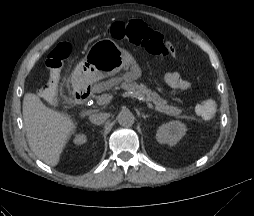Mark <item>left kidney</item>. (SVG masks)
<instances>
[{"label": "left kidney", "instance_id": "left-kidney-1", "mask_svg": "<svg viewBox=\"0 0 254 216\" xmlns=\"http://www.w3.org/2000/svg\"><path fill=\"white\" fill-rule=\"evenodd\" d=\"M186 126L179 121H171L160 126L156 133V140L161 144L175 145L185 135Z\"/></svg>", "mask_w": 254, "mask_h": 216}]
</instances>
